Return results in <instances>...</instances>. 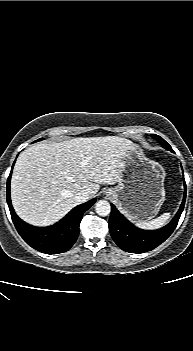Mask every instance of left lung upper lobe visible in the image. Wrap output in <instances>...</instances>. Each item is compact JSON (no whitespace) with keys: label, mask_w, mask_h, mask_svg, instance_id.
<instances>
[{"label":"left lung upper lobe","mask_w":193,"mask_h":351,"mask_svg":"<svg viewBox=\"0 0 193 351\" xmlns=\"http://www.w3.org/2000/svg\"><path fill=\"white\" fill-rule=\"evenodd\" d=\"M152 136L162 145V147H164L165 149H167L169 151H172L170 145L163 138H161L158 135H152Z\"/></svg>","instance_id":"5c2ea615"}]
</instances>
